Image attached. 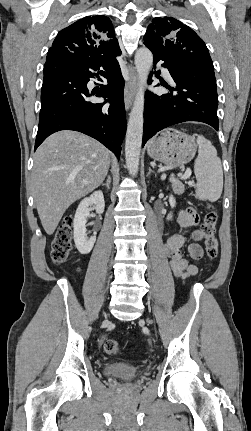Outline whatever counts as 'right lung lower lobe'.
<instances>
[{"label":"right lung lower lobe","instance_id":"right-lung-lower-lobe-1","mask_svg":"<svg viewBox=\"0 0 251 431\" xmlns=\"http://www.w3.org/2000/svg\"><path fill=\"white\" fill-rule=\"evenodd\" d=\"M93 71L108 80L98 92L87 89L89 79L96 75ZM123 89L118 62L106 67L65 53L46 62L35 150L52 133L68 129L97 139L119 159L126 132ZM93 95L107 98L109 108L103 106L105 103L91 102Z\"/></svg>","mask_w":251,"mask_h":431}]
</instances>
